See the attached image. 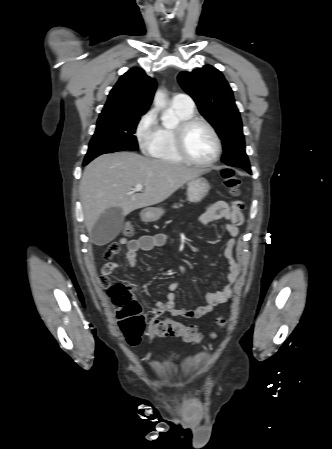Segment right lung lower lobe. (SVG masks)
Here are the masks:
<instances>
[{
    "mask_svg": "<svg viewBox=\"0 0 332 449\" xmlns=\"http://www.w3.org/2000/svg\"><path fill=\"white\" fill-rule=\"evenodd\" d=\"M86 164H87V163H85V162L83 163V165H86Z\"/></svg>",
    "mask_w": 332,
    "mask_h": 449,
    "instance_id": "98d812e1",
    "label": "right lung lower lobe"
}]
</instances>
